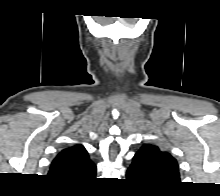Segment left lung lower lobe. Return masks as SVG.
<instances>
[{
	"label": "left lung lower lobe",
	"mask_w": 220,
	"mask_h": 196,
	"mask_svg": "<svg viewBox=\"0 0 220 196\" xmlns=\"http://www.w3.org/2000/svg\"><path fill=\"white\" fill-rule=\"evenodd\" d=\"M137 161V156H134L133 162L127 170V178L130 180H137L145 184L154 186Z\"/></svg>",
	"instance_id": "1"
}]
</instances>
